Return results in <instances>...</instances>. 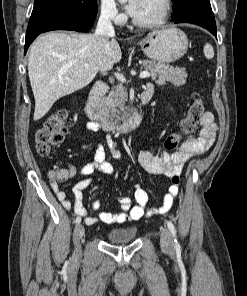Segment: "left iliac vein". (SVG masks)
Masks as SVG:
<instances>
[{
    "label": "left iliac vein",
    "mask_w": 247,
    "mask_h": 296,
    "mask_svg": "<svg viewBox=\"0 0 247 296\" xmlns=\"http://www.w3.org/2000/svg\"><path fill=\"white\" fill-rule=\"evenodd\" d=\"M160 244L164 250L170 251L173 248L172 236L167 228H162Z\"/></svg>",
    "instance_id": "1"
}]
</instances>
